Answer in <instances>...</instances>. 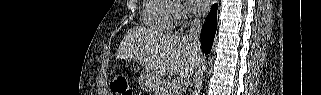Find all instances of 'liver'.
<instances>
[{"label":"liver","instance_id":"1","mask_svg":"<svg viewBox=\"0 0 321 95\" xmlns=\"http://www.w3.org/2000/svg\"><path fill=\"white\" fill-rule=\"evenodd\" d=\"M117 57L137 62L157 78L168 73L186 78L201 66L203 55L188 36L155 34L134 27L120 43Z\"/></svg>","mask_w":321,"mask_h":95}]
</instances>
